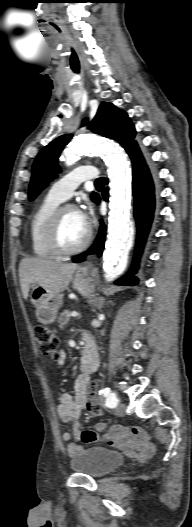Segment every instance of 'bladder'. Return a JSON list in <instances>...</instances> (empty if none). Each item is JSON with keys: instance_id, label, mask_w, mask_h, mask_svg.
<instances>
[{"instance_id": "obj_1", "label": "bladder", "mask_w": 192, "mask_h": 527, "mask_svg": "<svg viewBox=\"0 0 192 527\" xmlns=\"http://www.w3.org/2000/svg\"><path fill=\"white\" fill-rule=\"evenodd\" d=\"M124 456L115 450L94 446L80 451L71 462L75 473L93 478L103 477L122 465Z\"/></svg>"}]
</instances>
